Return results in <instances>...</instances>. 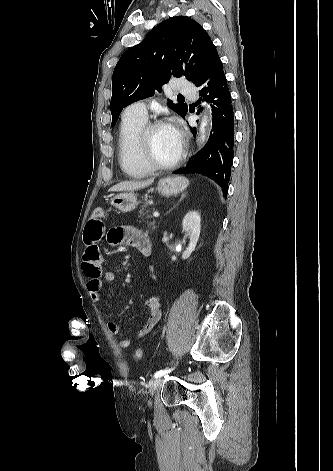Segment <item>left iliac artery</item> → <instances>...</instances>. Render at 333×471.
Returning <instances> with one entry per match:
<instances>
[{"label":"left iliac artery","mask_w":333,"mask_h":471,"mask_svg":"<svg viewBox=\"0 0 333 471\" xmlns=\"http://www.w3.org/2000/svg\"><path fill=\"white\" fill-rule=\"evenodd\" d=\"M171 371H172V369L159 370V371H157V372L154 374V377H155V378H159V377H161V376H163V375H165V374H167V373H169V372H171Z\"/></svg>","instance_id":"left-iliac-artery-1"}]
</instances>
